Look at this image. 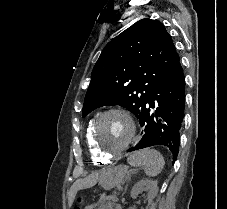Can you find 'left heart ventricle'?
Masks as SVG:
<instances>
[{"label":"left heart ventricle","mask_w":227,"mask_h":209,"mask_svg":"<svg viewBox=\"0 0 227 209\" xmlns=\"http://www.w3.org/2000/svg\"><path fill=\"white\" fill-rule=\"evenodd\" d=\"M130 135V123L123 115L118 113L106 116L98 130L99 142L108 151L121 147L127 142Z\"/></svg>","instance_id":"obj_1"}]
</instances>
